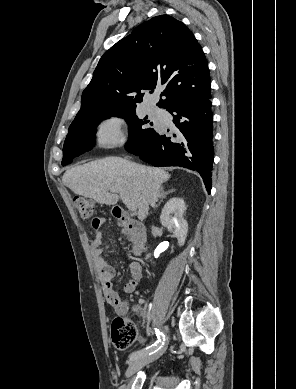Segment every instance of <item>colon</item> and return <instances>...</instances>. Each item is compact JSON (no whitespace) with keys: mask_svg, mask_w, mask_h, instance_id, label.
I'll return each mask as SVG.
<instances>
[{"mask_svg":"<svg viewBox=\"0 0 296 389\" xmlns=\"http://www.w3.org/2000/svg\"><path fill=\"white\" fill-rule=\"evenodd\" d=\"M74 205L82 219L89 221L92 225L97 221L96 207L89 199L76 197ZM111 339L118 349L128 348L136 338L135 325L122 317H116L111 323Z\"/></svg>","mask_w":296,"mask_h":389,"instance_id":"1","label":"colon"}]
</instances>
